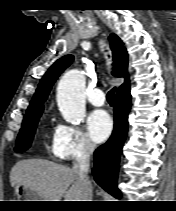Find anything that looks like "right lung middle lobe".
Masks as SVG:
<instances>
[{
  "instance_id": "1",
  "label": "right lung middle lobe",
  "mask_w": 176,
  "mask_h": 211,
  "mask_svg": "<svg viewBox=\"0 0 176 211\" xmlns=\"http://www.w3.org/2000/svg\"><path fill=\"white\" fill-rule=\"evenodd\" d=\"M41 114L42 112H39L24 117L21 130L17 137L15 151L23 152L30 147Z\"/></svg>"
}]
</instances>
